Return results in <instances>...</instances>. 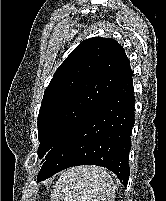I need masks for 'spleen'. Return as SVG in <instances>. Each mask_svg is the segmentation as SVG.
<instances>
[{"label": "spleen", "instance_id": "obj_1", "mask_svg": "<svg viewBox=\"0 0 166 201\" xmlns=\"http://www.w3.org/2000/svg\"><path fill=\"white\" fill-rule=\"evenodd\" d=\"M115 191L105 169L79 166L63 172L54 186L51 201H113Z\"/></svg>", "mask_w": 166, "mask_h": 201}]
</instances>
